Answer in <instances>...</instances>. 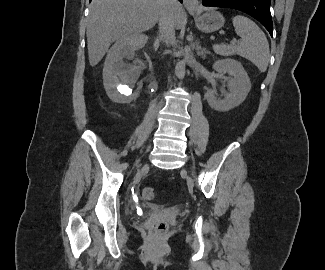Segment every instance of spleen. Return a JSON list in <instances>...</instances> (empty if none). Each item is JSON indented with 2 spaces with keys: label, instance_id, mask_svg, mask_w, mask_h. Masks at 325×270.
Listing matches in <instances>:
<instances>
[{
  "label": "spleen",
  "instance_id": "obj_1",
  "mask_svg": "<svg viewBox=\"0 0 325 270\" xmlns=\"http://www.w3.org/2000/svg\"><path fill=\"white\" fill-rule=\"evenodd\" d=\"M237 35L241 37L239 45H214L215 53L222 56L238 54L251 61L261 72L268 67L270 51L269 43L260 27L248 17L237 15L232 18Z\"/></svg>",
  "mask_w": 325,
  "mask_h": 270
}]
</instances>
